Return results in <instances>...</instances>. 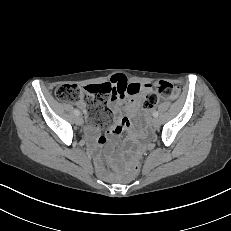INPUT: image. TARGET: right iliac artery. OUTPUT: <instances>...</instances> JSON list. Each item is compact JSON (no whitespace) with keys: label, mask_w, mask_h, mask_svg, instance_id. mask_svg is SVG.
<instances>
[{"label":"right iliac artery","mask_w":231,"mask_h":231,"mask_svg":"<svg viewBox=\"0 0 231 231\" xmlns=\"http://www.w3.org/2000/svg\"><path fill=\"white\" fill-rule=\"evenodd\" d=\"M74 114H75L76 116H78V115L80 114V111H79L78 109H75V110H74Z\"/></svg>","instance_id":"right-iliac-artery-1"}]
</instances>
